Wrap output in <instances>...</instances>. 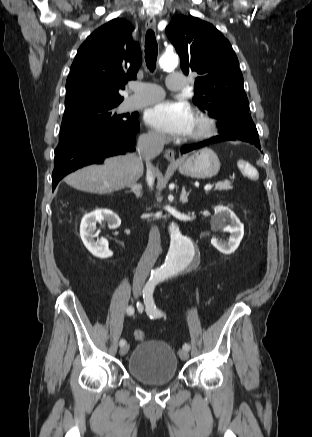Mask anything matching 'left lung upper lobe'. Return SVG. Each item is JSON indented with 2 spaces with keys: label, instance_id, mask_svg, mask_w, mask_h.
<instances>
[{
  "label": "left lung upper lobe",
  "instance_id": "5c2ea615",
  "mask_svg": "<svg viewBox=\"0 0 312 437\" xmlns=\"http://www.w3.org/2000/svg\"><path fill=\"white\" fill-rule=\"evenodd\" d=\"M166 34L180 56L183 72L196 76L193 102L219 121L223 135L259 142L230 42L212 24L193 16L173 17Z\"/></svg>",
  "mask_w": 312,
  "mask_h": 437
}]
</instances>
